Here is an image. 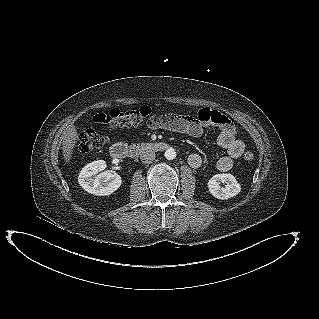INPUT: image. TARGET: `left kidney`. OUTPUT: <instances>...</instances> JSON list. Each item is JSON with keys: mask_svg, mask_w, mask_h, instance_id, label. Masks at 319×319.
Returning a JSON list of instances; mask_svg holds the SVG:
<instances>
[{"mask_svg": "<svg viewBox=\"0 0 319 319\" xmlns=\"http://www.w3.org/2000/svg\"><path fill=\"white\" fill-rule=\"evenodd\" d=\"M225 183V187H221ZM209 192L217 199L226 200L236 196L241 187L236 178L230 173L216 174L208 181Z\"/></svg>", "mask_w": 319, "mask_h": 319, "instance_id": "1", "label": "left kidney"}]
</instances>
